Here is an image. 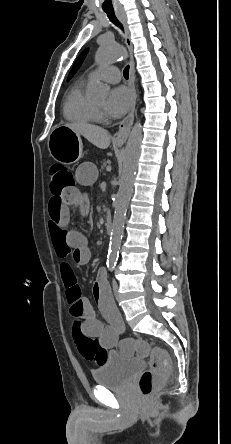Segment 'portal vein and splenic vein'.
Masks as SVG:
<instances>
[{
  "label": "portal vein and splenic vein",
  "instance_id": "1",
  "mask_svg": "<svg viewBox=\"0 0 231 444\" xmlns=\"http://www.w3.org/2000/svg\"><path fill=\"white\" fill-rule=\"evenodd\" d=\"M110 169H111V167H108V168H107V170H110Z\"/></svg>",
  "mask_w": 231,
  "mask_h": 444
}]
</instances>
